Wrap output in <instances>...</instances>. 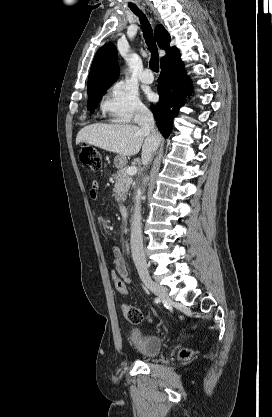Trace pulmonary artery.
<instances>
[{
    "mask_svg": "<svg viewBox=\"0 0 272 417\" xmlns=\"http://www.w3.org/2000/svg\"><path fill=\"white\" fill-rule=\"evenodd\" d=\"M140 80L143 83L150 84V83L153 82L154 77H153V74L151 73V71L149 69H145L140 76Z\"/></svg>",
    "mask_w": 272,
    "mask_h": 417,
    "instance_id": "obj_1",
    "label": "pulmonary artery"
}]
</instances>
